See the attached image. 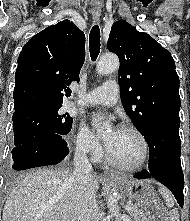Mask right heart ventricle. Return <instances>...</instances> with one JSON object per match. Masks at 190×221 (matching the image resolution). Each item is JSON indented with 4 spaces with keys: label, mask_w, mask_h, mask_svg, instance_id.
Listing matches in <instances>:
<instances>
[{
    "label": "right heart ventricle",
    "mask_w": 190,
    "mask_h": 221,
    "mask_svg": "<svg viewBox=\"0 0 190 221\" xmlns=\"http://www.w3.org/2000/svg\"><path fill=\"white\" fill-rule=\"evenodd\" d=\"M100 159H101V156L97 158V160H100Z\"/></svg>",
    "instance_id": "obj_1"
}]
</instances>
